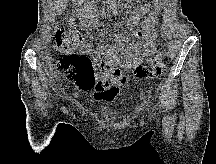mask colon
<instances>
[{"label":"colon","instance_id":"5ec220e1","mask_svg":"<svg viewBox=\"0 0 216 164\" xmlns=\"http://www.w3.org/2000/svg\"><path fill=\"white\" fill-rule=\"evenodd\" d=\"M71 27L67 28L64 25H59L54 33L53 41L61 51L59 59V69L65 78L74 82L82 89L88 90L98 86L97 70L105 71L108 67L100 59H91L81 53L77 52L79 46L87 50L89 45L82 43L79 40L77 33ZM165 62L160 60L151 64V69L138 67L135 69V74L141 78L157 77Z\"/></svg>","mask_w":216,"mask_h":164}]
</instances>
